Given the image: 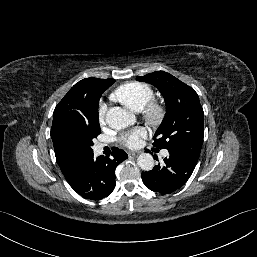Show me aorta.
<instances>
[{
  "instance_id": "1",
  "label": "aorta",
  "mask_w": 257,
  "mask_h": 257,
  "mask_svg": "<svg viewBox=\"0 0 257 257\" xmlns=\"http://www.w3.org/2000/svg\"><path fill=\"white\" fill-rule=\"evenodd\" d=\"M136 122L134 114L121 107H112L106 113V123L113 129H124ZM137 164L144 171H150L154 167V159L149 153H142L137 158Z\"/></svg>"
}]
</instances>
